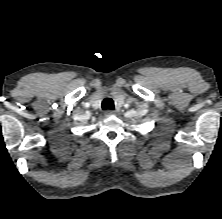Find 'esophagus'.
I'll use <instances>...</instances> for the list:
<instances>
[{
	"mask_svg": "<svg viewBox=\"0 0 222 219\" xmlns=\"http://www.w3.org/2000/svg\"><path fill=\"white\" fill-rule=\"evenodd\" d=\"M105 116L106 117H109V116H112V115H114L115 114V112L113 111V110H107V111H105Z\"/></svg>",
	"mask_w": 222,
	"mask_h": 219,
	"instance_id": "obj_1",
	"label": "esophagus"
}]
</instances>
